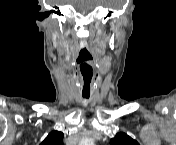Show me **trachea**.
Listing matches in <instances>:
<instances>
[{"mask_svg":"<svg viewBox=\"0 0 176 145\" xmlns=\"http://www.w3.org/2000/svg\"><path fill=\"white\" fill-rule=\"evenodd\" d=\"M90 95H83V98L89 99Z\"/></svg>","mask_w":176,"mask_h":145,"instance_id":"1","label":"trachea"}]
</instances>
